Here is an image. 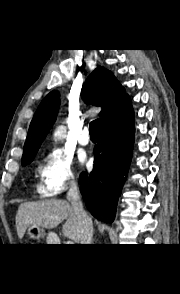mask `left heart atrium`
Wrapping results in <instances>:
<instances>
[{
    "instance_id": "39dd6f15",
    "label": "left heart atrium",
    "mask_w": 180,
    "mask_h": 294,
    "mask_svg": "<svg viewBox=\"0 0 180 294\" xmlns=\"http://www.w3.org/2000/svg\"><path fill=\"white\" fill-rule=\"evenodd\" d=\"M82 161L84 162V161H85V159L83 158V159H82Z\"/></svg>"
}]
</instances>
